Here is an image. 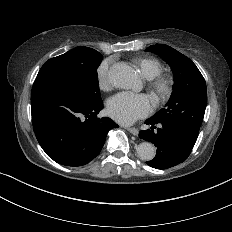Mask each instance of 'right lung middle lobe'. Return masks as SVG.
<instances>
[{
	"instance_id": "right-lung-middle-lobe-1",
	"label": "right lung middle lobe",
	"mask_w": 232,
	"mask_h": 232,
	"mask_svg": "<svg viewBox=\"0 0 232 232\" xmlns=\"http://www.w3.org/2000/svg\"><path fill=\"white\" fill-rule=\"evenodd\" d=\"M101 60L102 55L99 52L80 46L49 59L42 68L60 70L84 100L97 102L101 100L97 76V68Z\"/></svg>"
}]
</instances>
